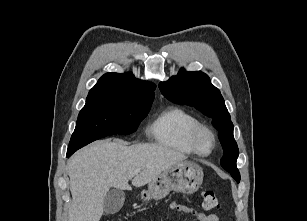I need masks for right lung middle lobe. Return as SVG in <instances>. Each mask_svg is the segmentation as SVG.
<instances>
[{"label": "right lung middle lobe", "mask_w": 307, "mask_h": 221, "mask_svg": "<svg viewBox=\"0 0 307 221\" xmlns=\"http://www.w3.org/2000/svg\"><path fill=\"white\" fill-rule=\"evenodd\" d=\"M152 102L113 98L86 102L78 115L67 155L106 136L131 134L149 112Z\"/></svg>", "instance_id": "obj_1"}]
</instances>
